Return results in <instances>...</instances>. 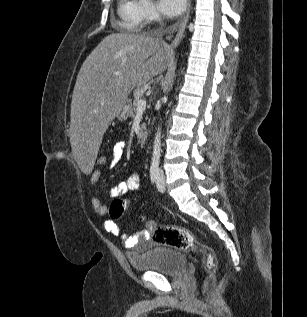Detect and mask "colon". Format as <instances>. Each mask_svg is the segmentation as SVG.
Wrapping results in <instances>:
<instances>
[{
	"label": "colon",
	"instance_id": "obj_1",
	"mask_svg": "<svg viewBox=\"0 0 307 317\" xmlns=\"http://www.w3.org/2000/svg\"><path fill=\"white\" fill-rule=\"evenodd\" d=\"M108 162L109 160L106 155L102 153L98 154L96 166L107 167ZM127 204V200L114 199L109 208L110 217L113 220L120 219L126 210ZM140 220L146 222V230L155 243L178 250H193L203 253L207 275L204 287L207 289L214 277L217 266L216 257L212 249L205 244L196 242L193 235L183 227L157 224L154 221L147 220L144 216H141Z\"/></svg>",
	"mask_w": 307,
	"mask_h": 317
}]
</instances>
